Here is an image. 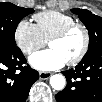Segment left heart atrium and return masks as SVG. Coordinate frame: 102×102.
Segmentation results:
<instances>
[{"instance_id":"39dd6f15","label":"left heart atrium","mask_w":102,"mask_h":102,"mask_svg":"<svg viewBox=\"0 0 102 102\" xmlns=\"http://www.w3.org/2000/svg\"><path fill=\"white\" fill-rule=\"evenodd\" d=\"M29 62L35 69L42 72L58 70L66 63V61L53 49H46L33 53Z\"/></svg>"}]
</instances>
